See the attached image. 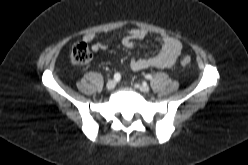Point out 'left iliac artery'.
I'll use <instances>...</instances> for the list:
<instances>
[{
	"label": "left iliac artery",
	"mask_w": 248,
	"mask_h": 165,
	"mask_svg": "<svg viewBox=\"0 0 248 165\" xmlns=\"http://www.w3.org/2000/svg\"><path fill=\"white\" fill-rule=\"evenodd\" d=\"M145 78L148 79V80H150V79H152V75L147 74V75L145 76Z\"/></svg>",
	"instance_id": "left-iliac-artery-1"
}]
</instances>
